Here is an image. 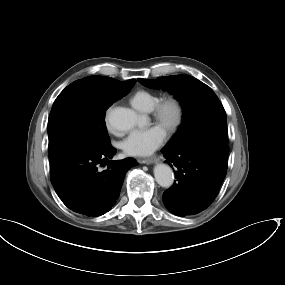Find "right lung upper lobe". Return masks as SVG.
<instances>
[{"instance_id": "obj_1", "label": "right lung upper lobe", "mask_w": 285, "mask_h": 285, "mask_svg": "<svg viewBox=\"0 0 285 285\" xmlns=\"http://www.w3.org/2000/svg\"><path fill=\"white\" fill-rule=\"evenodd\" d=\"M101 77H104V76H101ZM104 78L111 80L113 83L117 84L119 87L126 89V90H131V88L134 86L136 82L135 79H130L128 81L121 82V81H118L110 77H104Z\"/></svg>"}]
</instances>
